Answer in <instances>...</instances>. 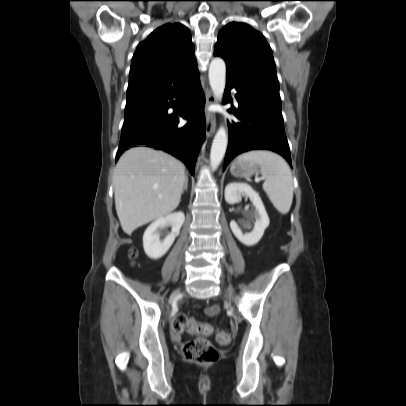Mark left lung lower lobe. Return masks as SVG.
I'll return each mask as SVG.
<instances>
[{
  "label": "left lung lower lobe",
  "instance_id": "obj_1",
  "mask_svg": "<svg viewBox=\"0 0 406 406\" xmlns=\"http://www.w3.org/2000/svg\"><path fill=\"white\" fill-rule=\"evenodd\" d=\"M235 88L238 109L228 110L240 121L228 122L229 144L224 169L240 153L250 150H271L282 155L292 166L289 145L284 131L281 101L268 95L247 90L227 79L225 96ZM230 101L232 99L229 97Z\"/></svg>",
  "mask_w": 406,
  "mask_h": 406
}]
</instances>
